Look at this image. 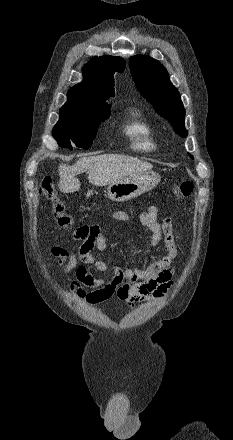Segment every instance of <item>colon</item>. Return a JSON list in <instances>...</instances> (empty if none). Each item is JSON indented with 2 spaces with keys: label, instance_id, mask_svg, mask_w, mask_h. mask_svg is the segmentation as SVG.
I'll list each match as a JSON object with an SVG mask.
<instances>
[{
  "label": "colon",
  "instance_id": "colon-1",
  "mask_svg": "<svg viewBox=\"0 0 233 440\" xmlns=\"http://www.w3.org/2000/svg\"><path fill=\"white\" fill-rule=\"evenodd\" d=\"M193 189L194 184L192 181L183 180L175 183L173 192L177 197L187 198L192 194ZM41 195L54 201L52 213L57 226L60 228L72 227V217L65 212V205L57 196L53 178L46 177L43 179Z\"/></svg>",
  "mask_w": 233,
  "mask_h": 440
}]
</instances>
